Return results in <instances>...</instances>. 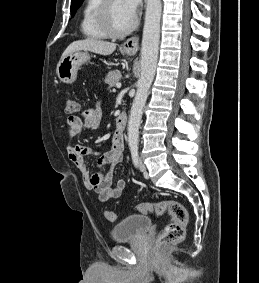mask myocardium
I'll list each match as a JSON object with an SVG mask.
<instances>
[{
	"instance_id": "f54148a6",
	"label": "myocardium",
	"mask_w": 259,
	"mask_h": 283,
	"mask_svg": "<svg viewBox=\"0 0 259 283\" xmlns=\"http://www.w3.org/2000/svg\"><path fill=\"white\" fill-rule=\"evenodd\" d=\"M113 0H102V3L99 7L98 18L99 24L103 32L112 38H121L130 34L137 26V18L134 17L131 24L124 30H117L112 22L111 18V6Z\"/></svg>"
}]
</instances>
